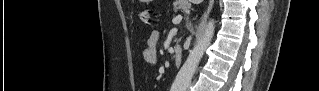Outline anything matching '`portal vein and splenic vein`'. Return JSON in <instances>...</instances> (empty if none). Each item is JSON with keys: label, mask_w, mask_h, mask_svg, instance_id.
<instances>
[{"label": "portal vein and splenic vein", "mask_w": 319, "mask_h": 91, "mask_svg": "<svg viewBox=\"0 0 319 91\" xmlns=\"http://www.w3.org/2000/svg\"><path fill=\"white\" fill-rule=\"evenodd\" d=\"M182 20V16L181 15H177L175 18H173L172 22L174 24L180 23Z\"/></svg>", "instance_id": "obj_1"}]
</instances>
